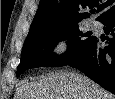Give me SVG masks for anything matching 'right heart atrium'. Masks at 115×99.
Here are the masks:
<instances>
[{
	"instance_id": "1",
	"label": "right heart atrium",
	"mask_w": 115,
	"mask_h": 99,
	"mask_svg": "<svg viewBox=\"0 0 115 99\" xmlns=\"http://www.w3.org/2000/svg\"><path fill=\"white\" fill-rule=\"evenodd\" d=\"M70 49V40L65 37L61 36L56 38L49 47V52L51 56L55 58H61L65 56Z\"/></svg>"
}]
</instances>
